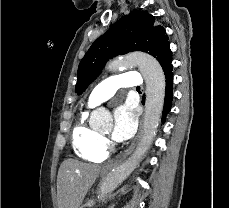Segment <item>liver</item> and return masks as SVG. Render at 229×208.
Segmentation results:
<instances>
[{
	"mask_svg": "<svg viewBox=\"0 0 229 208\" xmlns=\"http://www.w3.org/2000/svg\"><path fill=\"white\" fill-rule=\"evenodd\" d=\"M100 172L108 174L100 166L82 164L71 158L64 160L57 176L58 208H80Z\"/></svg>",
	"mask_w": 229,
	"mask_h": 208,
	"instance_id": "6515ba94",
	"label": "liver"
}]
</instances>
